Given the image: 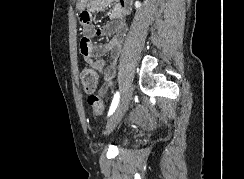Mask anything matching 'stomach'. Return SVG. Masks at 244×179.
Masks as SVG:
<instances>
[{
	"mask_svg": "<svg viewBox=\"0 0 244 179\" xmlns=\"http://www.w3.org/2000/svg\"><path fill=\"white\" fill-rule=\"evenodd\" d=\"M80 3H78V8H85V3H87V0H79Z\"/></svg>",
	"mask_w": 244,
	"mask_h": 179,
	"instance_id": "1",
	"label": "stomach"
}]
</instances>
